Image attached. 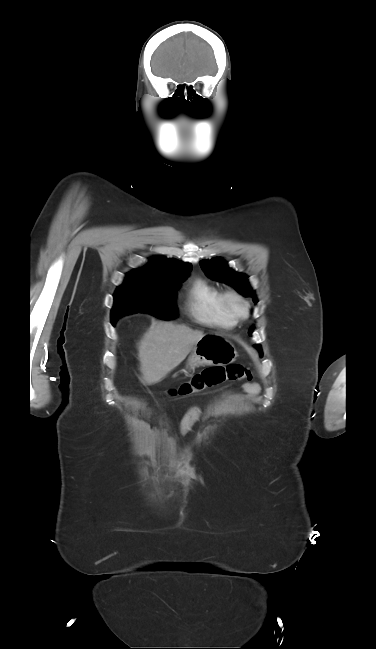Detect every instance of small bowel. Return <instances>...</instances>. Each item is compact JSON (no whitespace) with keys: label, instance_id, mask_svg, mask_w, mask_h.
Masks as SVG:
<instances>
[{"label":"small bowel","instance_id":"small-bowel-1","mask_svg":"<svg viewBox=\"0 0 376 649\" xmlns=\"http://www.w3.org/2000/svg\"><path fill=\"white\" fill-rule=\"evenodd\" d=\"M244 390L252 397L259 394V386L256 383H246L244 384ZM201 414L200 408L198 406H191L185 412L181 424L180 432L182 435H187L196 421L199 419Z\"/></svg>","mask_w":376,"mask_h":649}]
</instances>
